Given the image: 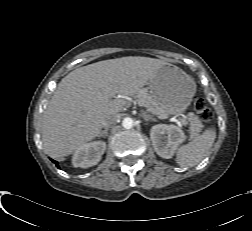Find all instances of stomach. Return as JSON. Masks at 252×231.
Segmentation results:
<instances>
[{"mask_svg": "<svg viewBox=\"0 0 252 231\" xmlns=\"http://www.w3.org/2000/svg\"><path fill=\"white\" fill-rule=\"evenodd\" d=\"M148 89L162 114L181 115L195 95L196 84L184 71L166 64L149 81Z\"/></svg>", "mask_w": 252, "mask_h": 231, "instance_id": "0dacf381", "label": "stomach"}]
</instances>
